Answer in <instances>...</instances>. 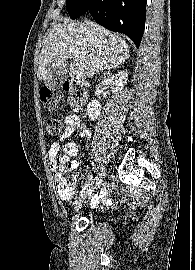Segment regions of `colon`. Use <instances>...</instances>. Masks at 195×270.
<instances>
[{
	"label": "colon",
	"instance_id": "5ec220e1",
	"mask_svg": "<svg viewBox=\"0 0 195 270\" xmlns=\"http://www.w3.org/2000/svg\"><path fill=\"white\" fill-rule=\"evenodd\" d=\"M64 91L67 94L68 101L74 111L81 110L87 100V87L82 82H70L64 85ZM60 93L55 90L42 89L40 91V104L47 112H53L59 102ZM62 130V123L58 119H49L47 121V131L50 135H58ZM73 144H68L65 148L67 154L75 151ZM55 187L58 194L69 193L76 184L77 178L71 168V162L68 161L66 156L57 158V167L53 172Z\"/></svg>",
	"mask_w": 195,
	"mask_h": 270
}]
</instances>
